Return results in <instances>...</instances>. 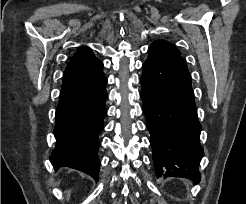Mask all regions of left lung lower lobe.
Segmentation results:
<instances>
[{
  "label": "left lung lower lobe",
  "instance_id": "0a47b994",
  "mask_svg": "<svg viewBox=\"0 0 246 204\" xmlns=\"http://www.w3.org/2000/svg\"><path fill=\"white\" fill-rule=\"evenodd\" d=\"M143 64L141 98L157 177H184L200 181L201 125L191 77L181 55L151 44Z\"/></svg>",
  "mask_w": 246,
  "mask_h": 204
}]
</instances>
